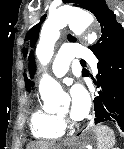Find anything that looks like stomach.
Masks as SVG:
<instances>
[{
  "label": "stomach",
  "mask_w": 124,
  "mask_h": 149,
  "mask_svg": "<svg viewBox=\"0 0 124 149\" xmlns=\"http://www.w3.org/2000/svg\"><path fill=\"white\" fill-rule=\"evenodd\" d=\"M96 141L97 135L95 129H87L80 135L75 146H79V149H82V147L93 145Z\"/></svg>",
  "instance_id": "stomach-1"
}]
</instances>
